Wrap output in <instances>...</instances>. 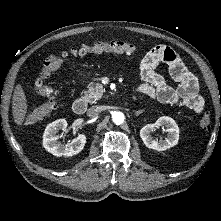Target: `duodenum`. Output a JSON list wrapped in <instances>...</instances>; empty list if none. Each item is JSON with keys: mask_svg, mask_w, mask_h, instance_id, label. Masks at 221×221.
Returning a JSON list of instances; mask_svg holds the SVG:
<instances>
[{"mask_svg": "<svg viewBox=\"0 0 221 221\" xmlns=\"http://www.w3.org/2000/svg\"><path fill=\"white\" fill-rule=\"evenodd\" d=\"M72 108L76 114H83L87 109V102L84 98L78 97L74 100Z\"/></svg>", "mask_w": 221, "mask_h": 221, "instance_id": "410a0bca", "label": "duodenum"}]
</instances>
